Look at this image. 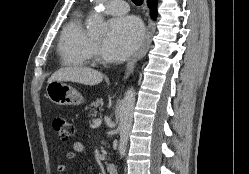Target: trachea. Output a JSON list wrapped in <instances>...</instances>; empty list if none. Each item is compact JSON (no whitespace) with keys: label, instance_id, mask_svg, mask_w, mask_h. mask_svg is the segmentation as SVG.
<instances>
[{"label":"trachea","instance_id":"3493384b","mask_svg":"<svg viewBox=\"0 0 249 174\" xmlns=\"http://www.w3.org/2000/svg\"><path fill=\"white\" fill-rule=\"evenodd\" d=\"M132 2L136 5H141L143 3V0H132Z\"/></svg>","mask_w":249,"mask_h":174}]
</instances>
